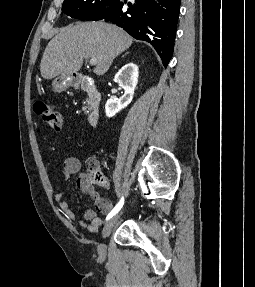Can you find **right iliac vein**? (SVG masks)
Wrapping results in <instances>:
<instances>
[{
    "mask_svg": "<svg viewBox=\"0 0 255 287\" xmlns=\"http://www.w3.org/2000/svg\"><path fill=\"white\" fill-rule=\"evenodd\" d=\"M118 217H119V215H116V216L112 217L109 221H107V223L105 224L103 231H102V237L103 238H107L111 234ZM98 254L101 258L105 257V255H106V245L105 244L102 243L98 246Z\"/></svg>",
    "mask_w": 255,
    "mask_h": 287,
    "instance_id": "63e3f726",
    "label": "right iliac vein"
}]
</instances>
